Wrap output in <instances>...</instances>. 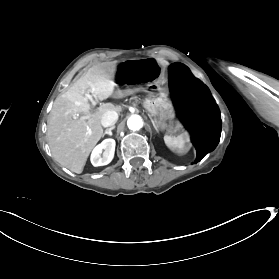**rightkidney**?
Wrapping results in <instances>:
<instances>
[{
  "label": "right kidney",
  "instance_id": "ca27d5eb",
  "mask_svg": "<svg viewBox=\"0 0 279 279\" xmlns=\"http://www.w3.org/2000/svg\"><path fill=\"white\" fill-rule=\"evenodd\" d=\"M115 141L106 139L99 144L92 152L91 162L94 166H102L109 164L114 156Z\"/></svg>",
  "mask_w": 279,
  "mask_h": 279
}]
</instances>
